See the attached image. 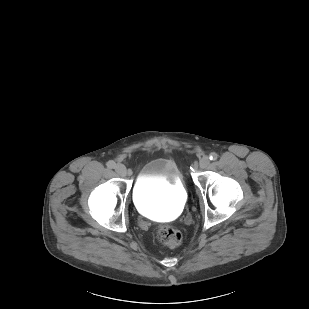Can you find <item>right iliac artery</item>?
Wrapping results in <instances>:
<instances>
[{"instance_id":"obj_1","label":"right iliac artery","mask_w":309,"mask_h":309,"mask_svg":"<svg viewBox=\"0 0 309 309\" xmlns=\"http://www.w3.org/2000/svg\"><path fill=\"white\" fill-rule=\"evenodd\" d=\"M116 164L114 161L110 160L107 162V167L110 168V169H113L115 168Z\"/></svg>"}]
</instances>
